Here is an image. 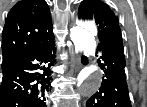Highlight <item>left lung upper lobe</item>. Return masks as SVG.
I'll use <instances>...</instances> for the list:
<instances>
[{
  "mask_svg": "<svg viewBox=\"0 0 147 107\" xmlns=\"http://www.w3.org/2000/svg\"><path fill=\"white\" fill-rule=\"evenodd\" d=\"M80 19L95 20L98 26V38L103 44L114 38H121L118 18L110 7L101 0H83L78 10Z\"/></svg>",
  "mask_w": 147,
  "mask_h": 107,
  "instance_id": "5c2ea615",
  "label": "left lung upper lobe"
}]
</instances>
